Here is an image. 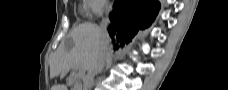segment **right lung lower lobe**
<instances>
[{
    "label": "right lung lower lobe",
    "instance_id": "98d812e1",
    "mask_svg": "<svg viewBox=\"0 0 228 90\" xmlns=\"http://www.w3.org/2000/svg\"><path fill=\"white\" fill-rule=\"evenodd\" d=\"M114 5L108 32L115 50L128 44L139 29L150 26L160 9L154 0H116Z\"/></svg>",
    "mask_w": 228,
    "mask_h": 90
}]
</instances>
